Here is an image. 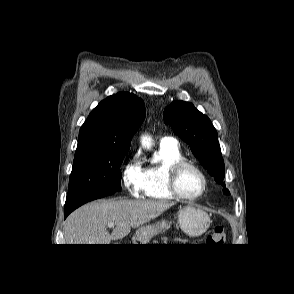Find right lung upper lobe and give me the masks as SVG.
Listing matches in <instances>:
<instances>
[{"mask_svg":"<svg viewBox=\"0 0 294 294\" xmlns=\"http://www.w3.org/2000/svg\"><path fill=\"white\" fill-rule=\"evenodd\" d=\"M145 116L143 101L121 92L101 101L82 125L77 148H130L133 134Z\"/></svg>","mask_w":294,"mask_h":294,"instance_id":"1","label":"right lung upper lobe"}]
</instances>
